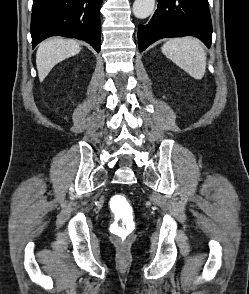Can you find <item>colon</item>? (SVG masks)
<instances>
[{"instance_id":"1","label":"colon","mask_w":249,"mask_h":294,"mask_svg":"<svg viewBox=\"0 0 249 294\" xmlns=\"http://www.w3.org/2000/svg\"><path fill=\"white\" fill-rule=\"evenodd\" d=\"M127 198L124 195H116L112 198V207L116 212V218L111 224L113 234L125 242L134 231L135 223L129 215Z\"/></svg>"}]
</instances>
